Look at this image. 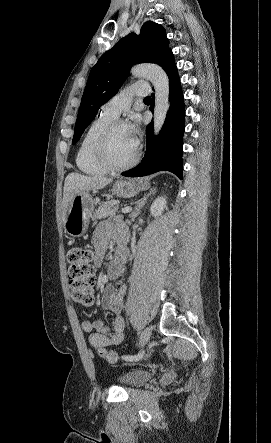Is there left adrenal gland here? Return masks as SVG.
Returning a JSON list of instances; mask_svg holds the SVG:
<instances>
[{
  "label": "left adrenal gland",
  "mask_w": 271,
  "mask_h": 443,
  "mask_svg": "<svg viewBox=\"0 0 271 443\" xmlns=\"http://www.w3.org/2000/svg\"><path fill=\"white\" fill-rule=\"evenodd\" d=\"M156 192V188H152V190H150L149 194H144L143 198H141V200H139V202H137L136 206H135V210L132 214V216H130V218H137L138 214H140L142 208H144L148 198H150V196H152V194H155Z\"/></svg>",
  "instance_id": "left-adrenal-gland-1"
}]
</instances>
